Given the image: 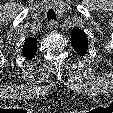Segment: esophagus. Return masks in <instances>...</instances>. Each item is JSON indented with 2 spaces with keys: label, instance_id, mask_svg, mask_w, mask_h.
<instances>
[{
  "label": "esophagus",
  "instance_id": "34e87169",
  "mask_svg": "<svg viewBox=\"0 0 113 113\" xmlns=\"http://www.w3.org/2000/svg\"><path fill=\"white\" fill-rule=\"evenodd\" d=\"M47 30L50 32V33H54L57 31V24L55 21H51L49 22L48 24V27H47Z\"/></svg>",
  "mask_w": 113,
  "mask_h": 113
}]
</instances>
